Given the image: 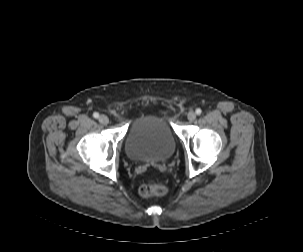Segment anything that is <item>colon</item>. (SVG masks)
Segmentation results:
<instances>
[{
    "label": "colon",
    "instance_id": "obj_1",
    "mask_svg": "<svg viewBox=\"0 0 303 252\" xmlns=\"http://www.w3.org/2000/svg\"><path fill=\"white\" fill-rule=\"evenodd\" d=\"M167 192L168 188L164 184L148 183L140 187V193L144 197H160L166 195Z\"/></svg>",
    "mask_w": 303,
    "mask_h": 252
}]
</instances>
